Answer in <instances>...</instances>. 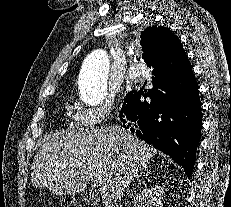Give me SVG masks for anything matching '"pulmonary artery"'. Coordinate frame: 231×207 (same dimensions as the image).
<instances>
[{
  "mask_svg": "<svg viewBox=\"0 0 231 207\" xmlns=\"http://www.w3.org/2000/svg\"><path fill=\"white\" fill-rule=\"evenodd\" d=\"M139 75H140L139 72H136L135 69L132 68V69L129 71V73H128V75L126 76V78H127L128 80H133V79H135L136 77H138Z\"/></svg>",
  "mask_w": 231,
  "mask_h": 207,
  "instance_id": "pulmonary-artery-1",
  "label": "pulmonary artery"
}]
</instances>
